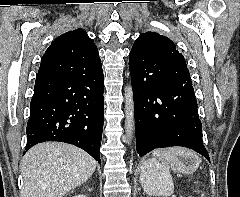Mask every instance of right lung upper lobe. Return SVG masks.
I'll return each mask as SVG.
<instances>
[{
  "label": "right lung upper lobe",
  "mask_w": 240,
  "mask_h": 197,
  "mask_svg": "<svg viewBox=\"0 0 240 197\" xmlns=\"http://www.w3.org/2000/svg\"><path fill=\"white\" fill-rule=\"evenodd\" d=\"M102 69L97 47L82 29L57 37L44 54L36 82L58 77H81Z\"/></svg>",
  "instance_id": "cb5924a9"
}]
</instances>
